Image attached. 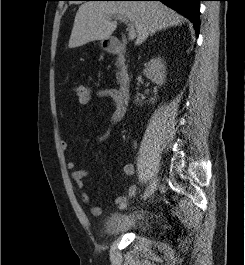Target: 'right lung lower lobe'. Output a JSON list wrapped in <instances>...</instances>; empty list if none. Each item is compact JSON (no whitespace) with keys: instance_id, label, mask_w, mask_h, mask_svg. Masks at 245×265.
I'll use <instances>...</instances> for the list:
<instances>
[{"instance_id":"obj_1","label":"right lung lower lobe","mask_w":245,"mask_h":265,"mask_svg":"<svg viewBox=\"0 0 245 265\" xmlns=\"http://www.w3.org/2000/svg\"><path fill=\"white\" fill-rule=\"evenodd\" d=\"M104 1V0H103ZM109 1V0H107ZM114 1H161L172 9L188 18L194 25L196 34H199L200 1L202 0H114Z\"/></svg>"}]
</instances>
